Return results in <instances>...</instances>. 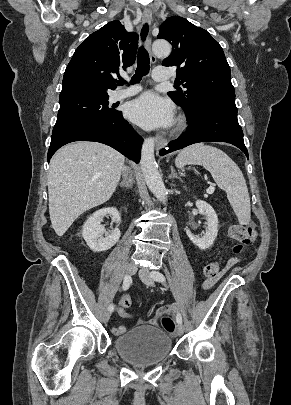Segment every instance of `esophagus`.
Listing matches in <instances>:
<instances>
[{"label":"esophagus","mask_w":291,"mask_h":405,"mask_svg":"<svg viewBox=\"0 0 291 405\" xmlns=\"http://www.w3.org/2000/svg\"><path fill=\"white\" fill-rule=\"evenodd\" d=\"M142 20L144 23H150L152 20V13L150 11H145L143 13ZM146 49L148 50V52L150 54L151 63L155 64L157 59L151 52V37L147 38ZM155 144H156V150H159L161 147H163L167 144V141L162 136H159L156 138Z\"/></svg>","instance_id":"34e87169"}]
</instances>
